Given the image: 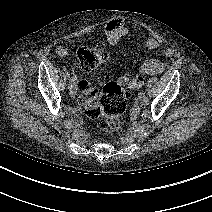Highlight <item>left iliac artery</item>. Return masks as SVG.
Returning a JSON list of instances; mask_svg holds the SVG:
<instances>
[{
    "label": "left iliac artery",
    "mask_w": 212,
    "mask_h": 212,
    "mask_svg": "<svg viewBox=\"0 0 212 212\" xmlns=\"http://www.w3.org/2000/svg\"><path fill=\"white\" fill-rule=\"evenodd\" d=\"M143 101H144V105L149 104V98L147 96H144Z\"/></svg>",
    "instance_id": "obj_1"
}]
</instances>
